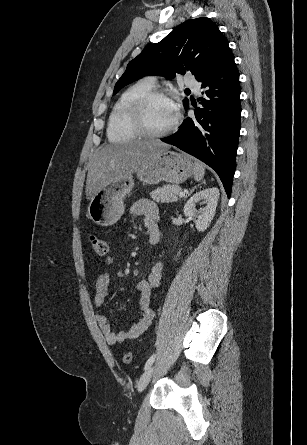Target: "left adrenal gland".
<instances>
[{
	"label": "left adrenal gland",
	"mask_w": 307,
	"mask_h": 445,
	"mask_svg": "<svg viewBox=\"0 0 307 445\" xmlns=\"http://www.w3.org/2000/svg\"><path fill=\"white\" fill-rule=\"evenodd\" d=\"M197 186H199V184H197ZM194 188H196V186H194ZM194 188H192V190H194ZM184 198H186V196H184Z\"/></svg>",
	"instance_id": "left-adrenal-gland-1"
}]
</instances>
